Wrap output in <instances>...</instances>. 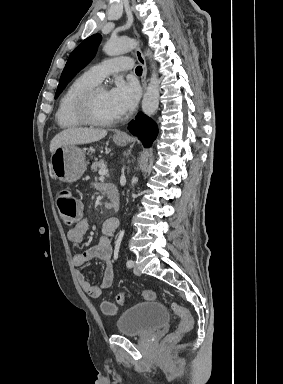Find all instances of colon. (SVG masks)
<instances>
[{
  "mask_svg": "<svg viewBox=\"0 0 283 384\" xmlns=\"http://www.w3.org/2000/svg\"><path fill=\"white\" fill-rule=\"evenodd\" d=\"M56 203L59 209V214L62 222L66 226H72L80 218L79 203L74 194L68 189H61L56 195ZM141 297L147 301L156 299V293L152 290H144L141 292ZM129 295L125 292L118 293L116 301L120 305L127 303ZM101 309L105 314L112 315L115 313L116 307L113 303L105 301L101 305ZM172 310L176 316L180 318L177 330L170 334L165 342L171 344L176 342L183 334L189 332L194 324V320L190 312L178 303H172Z\"/></svg>",
  "mask_w": 283,
  "mask_h": 384,
  "instance_id": "1",
  "label": "colon"
}]
</instances>
